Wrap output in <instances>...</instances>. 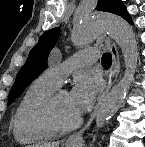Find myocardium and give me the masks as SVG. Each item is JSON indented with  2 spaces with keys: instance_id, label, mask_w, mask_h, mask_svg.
I'll use <instances>...</instances> for the list:
<instances>
[{
  "instance_id": "1",
  "label": "myocardium",
  "mask_w": 145,
  "mask_h": 147,
  "mask_svg": "<svg viewBox=\"0 0 145 147\" xmlns=\"http://www.w3.org/2000/svg\"><path fill=\"white\" fill-rule=\"evenodd\" d=\"M64 92H67V90L57 88L48 97H46L41 104V110L46 120L57 131L60 132H68L74 130L81 124V118L79 116L72 122H65L60 118L57 112V100L59 96Z\"/></svg>"
}]
</instances>
